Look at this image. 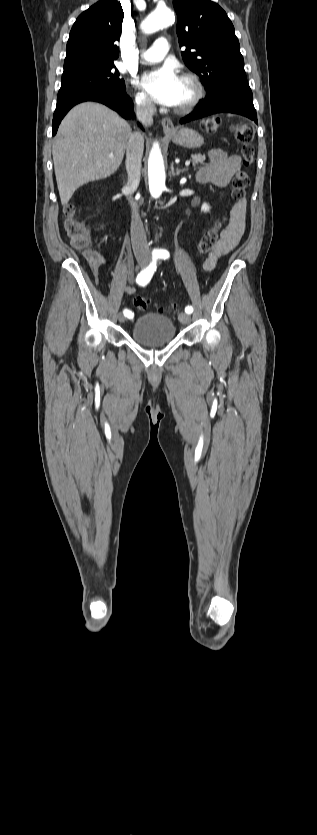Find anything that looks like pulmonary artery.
Here are the masks:
<instances>
[{
    "instance_id": "obj_1",
    "label": "pulmonary artery",
    "mask_w": 317,
    "mask_h": 835,
    "mask_svg": "<svg viewBox=\"0 0 317 835\" xmlns=\"http://www.w3.org/2000/svg\"><path fill=\"white\" fill-rule=\"evenodd\" d=\"M169 51V43L166 38H158L154 44L141 53V58L146 62H158L164 58Z\"/></svg>"
}]
</instances>
